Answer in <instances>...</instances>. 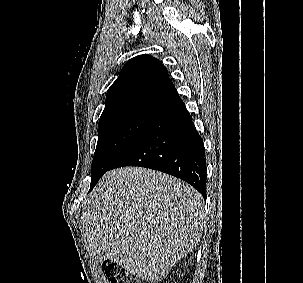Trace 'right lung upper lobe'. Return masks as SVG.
I'll list each match as a JSON object with an SVG mask.
<instances>
[{
  "label": "right lung upper lobe",
  "mask_w": 303,
  "mask_h": 283,
  "mask_svg": "<svg viewBox=\"0 0 303 283\" xmlns=\"http://www.w3.org/2000/svg\"><path fill=\"white\" fill-rule=\"evenodd\" d=\"M181 101L164 65L150 55H139L124 65L107 91L100 120L128 114L157 117Z\"/></svg>",
  "instance_id": "1"
}]
</instances>
